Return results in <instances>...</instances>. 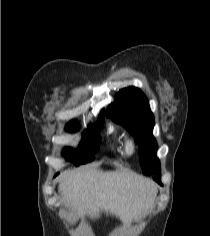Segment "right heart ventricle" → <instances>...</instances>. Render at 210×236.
I'll return each instance as SVG.
<instances>
[{
    "instance_id": "e07e8e85",
    "label": "right heart ventricle",
    "mask_w": 210,
    "mask_h": 236,
    "mask_svg": "<svg viewBox=\"0 0 210 236\" xmlns=\"http://www.w3.org/2000/svg\"><path fill=\"white\" fill-rule=\"evenodd\" d=\"M110 134L112 139L117 142L121 147H124V144L121 140V137L118 135V133L115 131V129L111 128L110 129Z\"/></svg>"
}]
</instances>
